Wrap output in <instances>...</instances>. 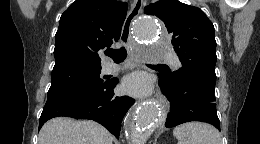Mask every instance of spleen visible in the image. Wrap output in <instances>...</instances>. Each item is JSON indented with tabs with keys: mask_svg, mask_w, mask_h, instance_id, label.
I'll return each instance as SVG.
<instances>
[{
	"mask_svg": "<svg viewBox=\"0 0 260 144\" xmlns=\"http://www.w3.org/2000/svg\"><path fill=\"white\" fill-rule=\"evenodd\" d=\"M178 144H221L219 131L202 122H188L174 128Z\"/></svg>",
	"mask_w": 260,
	"mask_h": 144,
	"instance_id": "3e777b00",
	"label": "spleen"
}]
</instances>
